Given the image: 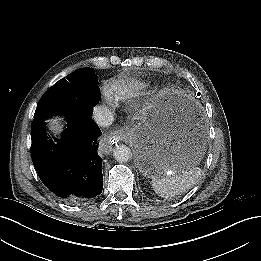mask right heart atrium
Wrapping results in <instances>:
<instances>
[{
  "instance_id": "right-heart-atrium-1",
  "label": "right heart atrium",
  "mask_w": 261,
  "mask_h": 261,
  "mask_svg": "<svg viewBox=\"0 0 261 261\" xmlns=\"http://www.w3.org/2000/svg\"><path fill=\"white\" fill-rule=\"evenodd\" d=\"M108 104H109L110 106H113V103H112V100H111V99L108 100Z\"/></svg>"
}]
</instances>
